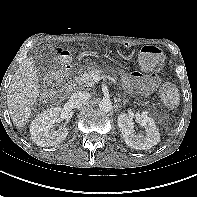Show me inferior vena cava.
<instances>
[{
    "label": "inferior vena cava",
    "instance_id": "1",
    "mask_svg": "<svg viewBox=\"0 0 197 197\" xmlns=\"http://www.w3.org/2000/svg\"><path fill=\"white\" fill-rule=\"evenodd\" d=\"M89 98H90L89 93L85 91L75 92L71 95L69 99V104L73 108H80L88 102Z\"/></svg>",
    "mask_w": 197,
    "mask_h": 197
}]
</instances>
